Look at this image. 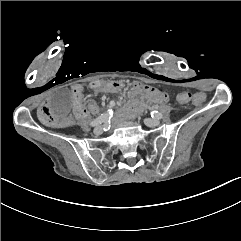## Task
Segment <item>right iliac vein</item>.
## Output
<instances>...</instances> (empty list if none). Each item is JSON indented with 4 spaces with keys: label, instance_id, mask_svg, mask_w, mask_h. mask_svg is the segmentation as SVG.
<instances>
[{
    "label": "right iliac vein",
    "instance_id": "obj_1",
    "mask_svg": "<svg viewBox=\"0 0 241 241\" xmlns=\"http://www.w3.org/2000/svg\"><path fill=\"white\" fill-rule=\"evenodd\" d=\"M102 132H103V127H102V126H97V127L94 129V133H95L96 135H100Z\"/></svg>",
    "mask_w": 241,
    "mask_h": 241
}]
</instances>
